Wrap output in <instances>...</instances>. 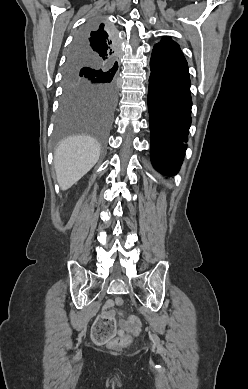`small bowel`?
I'll list each match as a JSON object with an SVG mask.
<instances>
[{
	"label": "small bowel",
	"instance_id": "small-bowel-1",
	"mask_svg": "<svg viewBox=\"0 0 248 389\" xmlns=\"http://www.w3.org/2000/svg\"><path fill=\"white\" fill-rule=\"evenodd\" d=\"M114 302L113 300L109 299L105 302L104 304V310H103V315L106 317H112L113 318V312L110 310L113 306ZM122 327L125 328L126 331L132 333V334H138L139 332V324L138 320L133 317L129 316L127 317L123 322H122ZM120 334L123 333L122 330L119 331Z\"/></svg>",
	"mask_w": 248,
	"mask_h": 389
}]
</instances>
